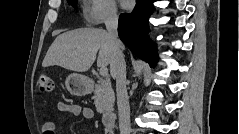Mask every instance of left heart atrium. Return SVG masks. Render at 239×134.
<instances>
[{
	"mask_svg": "<svg viewBox=\"0 0 239 134\" xmlns=\"http://www.w3.org/2000/svg\"><path fill=\"white\" fill-rule=\"evenodd\" d=\"M128 3H129L128 1H122L123 6L125 7L128 5Z\"/></svg>",
	"mask_w": 239,
	"mask_h": 134,
	"instance_id": "obj_1",
	"label": "left heart atrium"
}]
</instances>
